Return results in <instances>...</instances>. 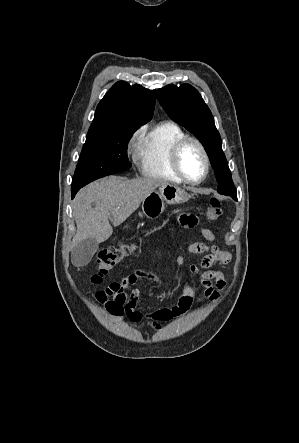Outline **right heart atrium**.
Segmentation results:
<instances>
[{
    "mask_svg": "<svg viewBox=\"0 0 299 443\" xmlns=\"http://www.w3.org/2000/svg\"><path fill=\"white\" fill-rule=\"evenodd\" d=\"M141 131H142L141 129H138L132 134V136L130 137L129 142H128V147H132L135 144V141L137 140Z\"/></svg>",
    "mask_w": 299,
    "mask_h": 443,
    "instance_id": "right-heart-atrium-1",
    "label": "right heart atrium"
}]
</instances>
